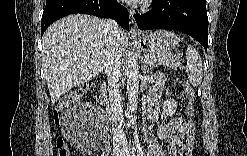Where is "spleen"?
<instances>
[{
    "instance_id": "spleen-1",
    "label": "spleen",
    "mask_w": 247,
    "mask_h": 156,
    "mask_svg": "<svg viewBox=\"0 0 247 156\" xmlns=\"http://www.w3.org/2000/svg\"><path fill=\"white\" fill-rule=\"evenodd\" d=\"M186 61L189 69V82L193 86H199L203 77V65L198 51L191 45H187Z\"/></svg>"
}]
</instances>
